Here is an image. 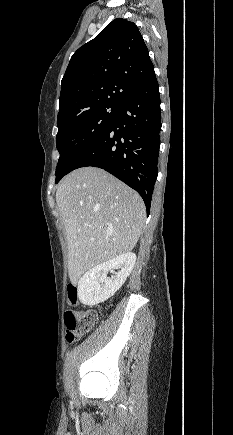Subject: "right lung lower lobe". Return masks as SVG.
Wrapping results in <instances>:
<instances>
[{"mask_svg":"<svg viewBox=\"0 0 233 435\" xmlns=\"http://www.w3.org/2000/svg\"><path fill=\"white\" fill-rule=\"evenodd\" d=\"M161 113L155 74L131 92L100 140L70 169L102 168L136 190L147 214L157 178Z\"/></svg>","mask_w":233,"mask_h":435,"instance_id":"1","label":"right lung lower lobe"}]
</instances>
